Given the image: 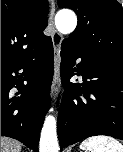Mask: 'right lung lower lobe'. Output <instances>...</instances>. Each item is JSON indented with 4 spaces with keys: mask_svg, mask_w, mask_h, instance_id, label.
Masks as SVG:
<instances>
[{
    "mask_svg": "<svg viewBox=\"0 0 123 152\" xmlns=\"http://www.w3.org/2000/svg\"><path fill=\"white\" fill-rule=\"evenodd\" d=\"M20 70L22 75H18ZM53 72L50 37L26 58L1 63V136L14 138L38 152L40 131L50 106ZM13 87L19 90L15 95Z\"/></svg>",
    "mask_w": 123,
    "mask_h": 152,
    "instance_id": "1",
    "label": "right lung lower lobe"
}]
</instances>
